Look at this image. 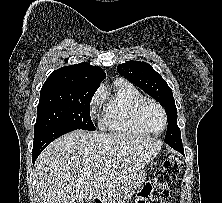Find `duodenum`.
I'll use <instances>...</instances> for the list:
<instances>
[{
  "label": "duodenum",
  "mask_w": 222,
  "mask_h": 203,
  "mask_svg": "<svg viewBox=\"0 0 222 203\" xmlns=\"http://www.w3.org/2000/svg\"><path fill=\"white\" fill-rule=\"evenodd\" d=\"M97 203H102V197L101 196L98 198Z\"/></svg>",
  "instance_id": "obj_1"
}]
</instances>
